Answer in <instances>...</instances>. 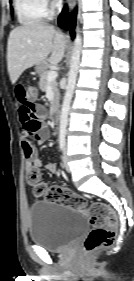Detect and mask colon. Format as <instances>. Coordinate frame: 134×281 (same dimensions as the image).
Wrapping results in <instances>:
<instances>
[{
	"mask_svg": "<svg viewBox=\"0 0 134 281\" xmlns=\"http://www.w3.org/2000/svg\"><path fill=\"white\" fill-rule=\"evenodd\" d=\"M26 94L29 102L34 103L38 100L39 92L35 86H29ZM27 182L32 187L34 195L43 196L48 201L59 202L86 213L92 230L83 243L84 251L92 252L113 244L116 237L118 219L107 204L102 202L88 203L84 197L68 188L57 185H45L41 181V173L38 168H31L27 171Z\"/></svg>",
	"mask_w": 134,
	"mask_h": 281,
	"instance_id": "1",
	"label": "colon"
}]
</instances>
